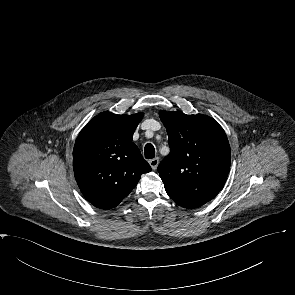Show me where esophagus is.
<instances>
[{"mask_svg": "<svg viewBox=\"0 0 295 295\" xmlns=\"http://www.w3.org/2000/svg\"><path fill=\"white\" fill-rule=\"evenodd\" d=\"M149 164H150V166H151V168L153 170H156V168H157V166L159 164V158L156 157V158H153V159L149 160Z\"/></svg>", "mask_w": 295, "mask_h": 295, "instance_id": "34e87169", "label": "esophagus"}]
</instances>
